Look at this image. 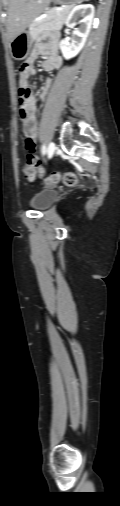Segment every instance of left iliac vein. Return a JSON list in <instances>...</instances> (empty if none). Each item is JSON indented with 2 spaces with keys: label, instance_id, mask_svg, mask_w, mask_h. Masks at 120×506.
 I'll return each instance as SVG.
<instances>
[{
  "label": "left iliac vein",
  "instance_id": "4c4485c4",
  "mask_svg": "<svg viewBox=\"0 0 120 506\" xmlns=\"http://www.w3.org/2000/svg\"><path fill=\"white\" fill-rule=\"evenodd\" d=\"M56 150V145L54 142H50L47 148V154L49 157H51Z\"/></svg>",
  "mask_w": 120,
  "mask_h": 506
}]
</instances>
